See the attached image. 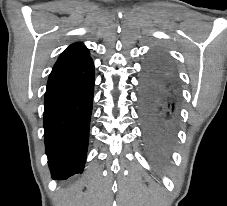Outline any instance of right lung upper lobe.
I'll use <instances>...</instances> for the list:
<instances>
[{
	"label": "right lung upper lobe",
	"instance_id": "cb5924a9",
	"mask_svg": "<svg viewBox=\"0 0 227 206\" xmlns=\"http://www.w3.org/2000/svg\"><path fill=\"white\" fill-rule=\"evenodd\" d=\"M89 56V50L81 42L70 45L58 58L54 66Z\"/></svg>",
	"mask_w": 227,
	"mask_h": 206
}]
</instances>
